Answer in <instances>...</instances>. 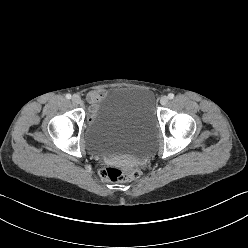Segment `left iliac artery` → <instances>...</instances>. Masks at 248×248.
<instances>
[{
    "instance_id": "44dca946",
    "label": "left iliac artery",
    "mask_w": 248,
    "mask_h": 248,
    "mask_svg": "<svg viewBox=\"0 0 248 248\" xmlns=\"http://www.w3.org/2000/svg\"><path fill=\"white\" fill-rule=\"evenodd\" d=\"M168 98H169V99H173V98H174V94H173V93H169V94H168Z\"/></svg>"
}]
</instances>
